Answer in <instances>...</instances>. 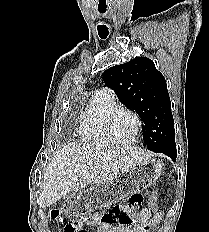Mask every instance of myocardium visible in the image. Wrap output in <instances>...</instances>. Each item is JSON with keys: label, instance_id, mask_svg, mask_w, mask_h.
<instances>
[{"label": "myocardium", "instance_id": "f54148a6", "mask_svg": "<svg viewBox=\"0 0 209 232\" xmlns=\"http://www.w3.org/2000/svg\"><path fill=\"white\" fill-rule=\"evenodd\" d=\"M122 113H129L130 115H132V117L136 121L135 132L133 133V135L129 139L124 140V141L118 140L114 136L113 129H112L113 122ZM141 128H142V120H141L140 116L133 109L127 108V107H118V108L112 110L108 114V116L106 118V122H105V133H106V136H107L108 140L112 144H116V145H128V144H131L136 139L137 135L141 131Z\"/></svg>", "mask_w": 209, "mask_h": 232}]
</instances>
